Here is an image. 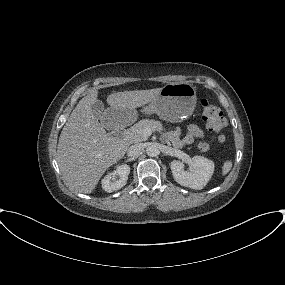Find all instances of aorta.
Returning a JSON list of instances; mask_svg holds the SVG:
<instances>
[{
	"label": "aorta",
	"instance_id": "aorta-1",
	"mask_svg": "<svg viewBox=\"0 0 285 285\" xmlns=\"http://www.w3.org/2000/svg\"><path fill=\"white\" fill-rule=\"evenodd\" d=\"M146 153L148 156L154 157L158 155L159 151L155 146L152 145V146L147 147Z\"/></svg>",
	"mask_w": 285,
	"mask_h": 285
}]
</instances>
